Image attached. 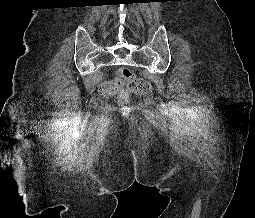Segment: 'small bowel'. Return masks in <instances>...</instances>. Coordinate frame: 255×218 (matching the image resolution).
<instances>
[{
  "label": "small bowel",
  "mask_w": 255,
  "mask_h": 218,
  "mask_svg": "<svg viewBox=\"0 0 255 218\" xmlns=\"http://www.w3.org/2000/svg\"><path fill=\"white\" fill-rule=\"evenodd\" d=\"M113 82H115V81H113ZM108 83H111V82H108ZM104 84H107V83H104ZM104 84H102V85H104Z\"/></svg>",
  "instance_id": "c3829d8e"
}]
</instances>
